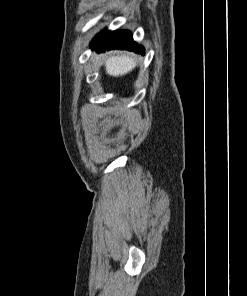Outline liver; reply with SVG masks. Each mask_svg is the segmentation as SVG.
<instances>
[{
  "instance_id": "1",
  "label": "liver",
  "mask_w": 247,
  "mask_h": 296,
  "mask_svg": "<svg viewBox=\"0 0 247 296\" xmlns=\"http://www.w3.org/2000/svg\"><path fill=\"white\" fill-rule=\"evenodd\" d=\"M105 66L107 74L118 77L132 71L136 66V62L134 58L126 55L111 56L106 61Z\"/></svg>"
}]
</instances>
